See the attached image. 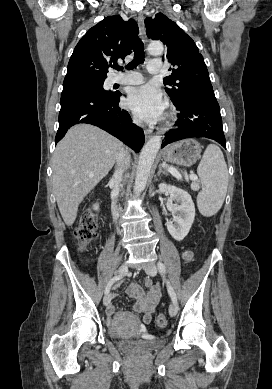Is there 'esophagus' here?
Masks as SVG:
<instances>
[{
	"mask_svg": "<svg viewBox=\"0 0 272 389\" xmlns=\"http://www.w3.org/2000/svg\"><path fill=\"white\" fill-rule=\"evenodd\" d=\"M138 27H139L140 37H141L142 41L144 43H146L147 42V36H146V30H145V26H144V17H143L142 13H140L138 15ZM144 134H145V138L148 139V138H150L152 136V130L145 129Z\"/></svg>",
	"mask_w": 272,
	"mask_h": 389,
	"instance_id": "esophagus-1",
	"label": "esophagus"
}]
</instances>
